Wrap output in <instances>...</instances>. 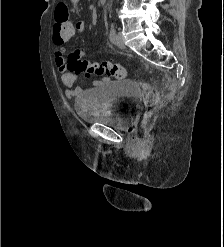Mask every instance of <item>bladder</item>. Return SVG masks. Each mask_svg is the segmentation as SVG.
Masks as SVG:
<instances>
[{"label": "bladder", "instance_id": "bladder-1", "mask_svg": "<svg viewBox=\"0 0 224 247\" xmlns=\"http://www.w3.org/2000/svg\"><path fill=\"white\" fill-rule=\"evenodd\" d=\"M140 107L138 87L130 80L108 81L86 90L76 105L79 117L89 124L128 130Z\"/></svg>", "mask_w": 224, "mask_h": 247}]
</instances>
